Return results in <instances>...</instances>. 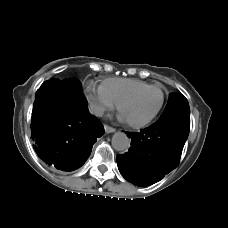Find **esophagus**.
I'll use <instances>...</instances> for the list:
<instances>
[{
  "mask_svg": "<svg viewBox=\"0 0 228 228\" xmlns=\"http://www.w3.org/2000/svg\"><path fill=\"white\" fill-rule=\"evenodd\" d=\"M104 129H105V132L106 133H113V132H115V128H113V127H111V126H108V125H105L104 126Z\"/></svg>",
  "mask_w": 228,
  "mask_h": 228,
  "instance_id": "obj_1",
  "label": "esophagus"
}]
</instances>
